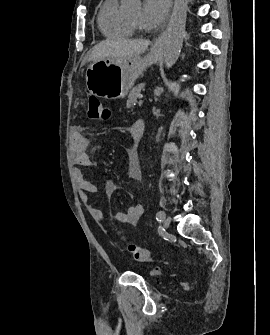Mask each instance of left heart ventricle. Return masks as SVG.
Masks as SVG:
<instances>
[{"mask_svg":"<svg viewBox=\"0 0 270 335\" xmlns=\"http://www.w3.org/2000/svg\"><path fill=\"white\" fill-rule=\"evenodd\" d=\"M134 26L138 27L140 26V20H141V11H137L133 13L131 16L127 18Z\"/></svg>","mask_w":270,"mask_h":335,"instance_id":"b2bd125f","label":"left heart ventricle"}]
</instances>
